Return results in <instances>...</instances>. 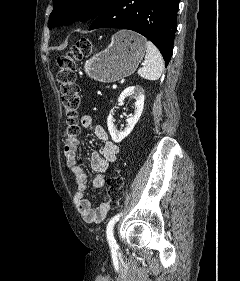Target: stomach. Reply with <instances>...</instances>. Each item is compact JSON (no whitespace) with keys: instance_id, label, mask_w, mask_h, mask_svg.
Listing matches in <instances>:
<instances>
[{"instance_id":"0dacf381","label":"stomach","mask_w":240,"mask_h":281,"mask_svg":"<svg viewBox=\"0 0 240 281\" xmlns=\"http://www.w3.org/2000/svg\"><path fill=\"white\" fill-rule=\"evenodd\" d=\"M146 40L141 35L122 30L111 44L85 63L87 75L101 82H115L133 74L145 54Z\"/></svg>"}]
</instances>
